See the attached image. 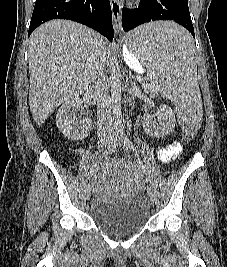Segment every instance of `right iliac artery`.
Masks as SVG:
<instances>
[{
    "label": "right iliac artery",
    "mask_w": 227,
    "mask_h": 267,
    "mask_svg": "<svg viewBox=\"0 0 227 267\" xmlns=\"http://www.w3.org/2000/svg\"><path fill=\"white\" fill-rule=\"evenodd\" d=\"M117 147V138L112 140L111 145L108 147L107 150H105L102 155L99 158V161H97V163H95V165H93V167L90 169V172L88 173V178H91L93 173L95 172L96 169L99 168L101 161L106 158L109 154H111L112 152H114V150Z\"/></svg>",
    "instance_id": "1"
}]
</instances>
